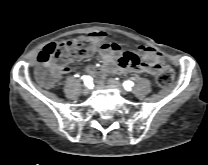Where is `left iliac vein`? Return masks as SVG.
<instances>
[{
	"instance_id": "left-iliac-vein-1",
	"label": "left iliac vein",
	"mask_w": 208,
	"mask_h": 165,
	"mask_svg": "<svg viewBox=\"0 0 208 165\" xmlns=\"http://www.w3.org/2000/svg\"><path fill=\"white\" fill-rule=\"evenodd\" d=\"M108 84L111 85L112 87H114L115 89H117L120 94H122V95L127 94V91L117 81H115L113 79H109Z\"/></svg>"
}]
</instances>
